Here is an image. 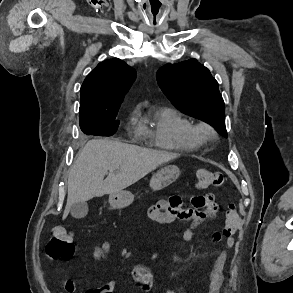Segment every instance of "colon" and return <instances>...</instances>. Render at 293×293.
Listing matches in <instances>:
<instances>
[{"mask_svg": "<svg viewBox=\"0 0 293 293\" xmlns=\"http://www.w3.org/2000/svg\"><path fill=\"white\" fill-rule=\"evenodd\" d=\"M224 182L221 172L200 169L196 173V186L199 189L220 187ZM239 216L236 205L231 203L226 212V222L223 229L225 235H233L237 231ZM75 251L71 234L62 227H56L51 233L50 240L46 244L45 253L50 259L69 260Z\"/></svg>", "mask_w": 293, "mask_h": 293, "instance_id": "colon-1", "label": "colon"}]
</instances>
